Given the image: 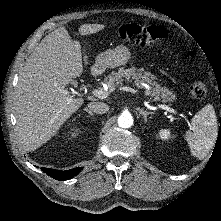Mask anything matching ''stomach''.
Returning <instances> with one entry per match:
<instances>
[{
    "label": "stomach",
    "mask_w": 221,
    "mask_h": 221,
    "mask_svg": "<svg viewBox=\"0 0 221 221\" xmlns=\"http://www.w3.org/2000/svg\"><path fill=\"white\" fill-rule=\"evenodd\" d=\"M130 57L131 53L128 47L118 45L115 49H109L96 57L95 64L92 66V72L93 74H101L107 68H115L124 65L128 62Z\"/></svg>",
    "instance_id": "0dacf381"
}]
</instances>
